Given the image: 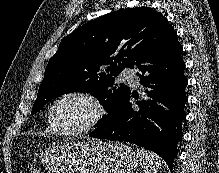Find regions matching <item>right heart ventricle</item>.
Wrapping results in <instances>:
<instances>
[{"instance_id":"e07e8e85","label":"right heart ventricle","mask_w":219,"mask_h":173,"mask_svg":"<svg viewBox=\"0 0 219 173\" xmlns=\"http://www.w3.org/2000/svg\"><path fill=\"white\" fill-rule=\"evenodd\" d=\"M47 133L50 134V135H56V134L52 131L50 125H49L48 128H47Z\"/></svg>"}]
</instances>
